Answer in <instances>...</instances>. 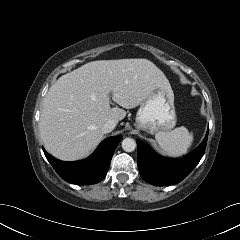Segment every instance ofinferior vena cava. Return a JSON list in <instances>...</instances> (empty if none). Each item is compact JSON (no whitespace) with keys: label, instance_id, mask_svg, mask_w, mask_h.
Returning a JSON list of instances; mask_svg holds the SVG:
<instances>
[{"label":"inferior vena cava","instance_id":"602c4592","mask_svg":"<svg viewBox=\"0 0 240 240\" xmlns=\"http://www.w3.org/2000/svg\"><path fill=\"white\" fill-rule=\"evenodd\" d=\"M116 125H117V121L113 119H109L103 124L102 131L104 133H109L116 127Z\"/></svg>","mask_w":240,"mask_h":240}]
</instances>
